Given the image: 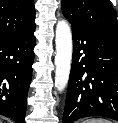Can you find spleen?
Listing matches in <instances>:
<instances>
[{"instance_id": "spleen-1", "label": "spleen", "mask_w": 118, "mask_h": 123, "mask_svg": "<svg viewBox=\"0 0 118 123\" xmlns=\"http://www.w3.org/2000/svg\"><path fill=\"white\" fill-rule=\"evenodd\" d=\"M82 123H111V122L102 118H90L83 121Z\"/></svg>"}]
</instances>
